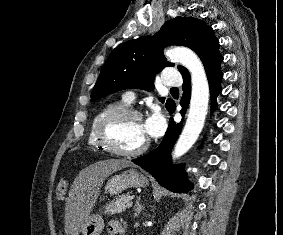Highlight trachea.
Wrapping results in <instances>:
<instances>
[{
	"mask_svg": "<svg viewBox=\"0 0 283 235\" xmlns=\"http://www.w3.org/2000/svg\"><path fill=\"white\" fill-rule=\"evenodd\" d=\"M172 91L179 92L177 88H171Z\"/></svg>",
	"mask_w": 283,
	"mask_h": 235,
	"instance_id": "obj_1",
	"label": "trachea"
}]
</instances>
